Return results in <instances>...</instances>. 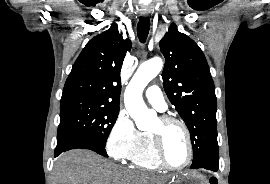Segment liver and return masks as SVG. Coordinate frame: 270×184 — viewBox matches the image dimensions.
<instances>
[{"instance_id": "obj_1", "label": "liver", "mask_w": 270, "mask_h": 184, "mask_svg": "<svg viewBox=\"0 0 270 184\" xmlns=\"http://www.w3.org/2000/svg\"><path fill=\"white\" fill-rule=\"evenodd\" d=\"M52 175L53 184H163L165 181L130 171L84 149L60 155Z\"/></svg>"}]
</instances>
